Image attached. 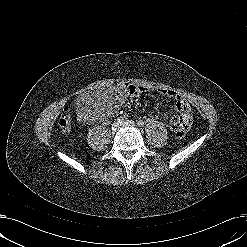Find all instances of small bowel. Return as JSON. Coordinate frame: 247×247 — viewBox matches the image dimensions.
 Listing matches in <instances>:
<instances>
[{
    "instance_id": "c3829d8e",
    "label": "small bowel",
    "mask_w": 247,
    "mask_h": 247,
    "mask_svg": "<svg viewBox=\"0 0 247 247\" xmlns=\"http://www.w3.org/2000/svg\"><path fill=\"white\" fill-rule=\"evenodd\" d=\"M149 88L146 86H133L130 89L131 96H139L142 92L147 91ZM159 93L165 94L174 100V108L177 112H179V115L177 117H174L171 119L170 124L173 127H181V126H189L192 116H191V110L190 106L185 101L183 97L178 95L177 93L166 90V89H159ZM151 118H156L157 114L152 113Z\"/></svg>"
}]
</instances>
